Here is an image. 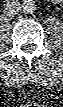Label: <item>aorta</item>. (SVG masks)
I'll return each instance as SVG.
<instances>
[{"instance_id":"aorta-1","label":"aorta","mask_w":63,"mask_h":107,"mask_svg":"<svg viewBox=\"0 0 63 107\" xmlns=\"http://www.w3.org/2000/svg\"><path fill=\"white\" fill-rule=\"evenodd\" d=\"M37 6L34 0H25L22 3V10L24 13H33L36 10Z\"/></svg>"}]
</instances>
